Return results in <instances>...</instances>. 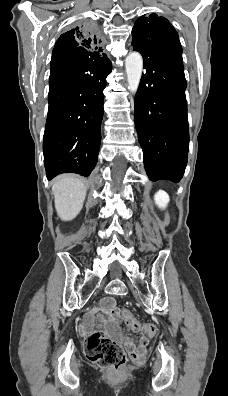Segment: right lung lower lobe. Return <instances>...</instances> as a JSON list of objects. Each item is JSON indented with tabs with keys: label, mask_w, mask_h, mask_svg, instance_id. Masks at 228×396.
Wrapping results in <instances>:
<instances>
[{
	"label": "right lung lower lobe",
	"mask_w": 228,
	"mask_h": 396,
	"mask_svg": "<svg viewBox=\"0 0 228 396\" xmlns=\"http://www.w3.org/2000/svg\"><path fill=\"white\" fill-rule=\"evenodd\" d=\"M106 54L73 51L52 56L48 115L43 137L44 164L50 180L61 173L89 176L101 143Z\"/></svg>",
	"instance_id": "1"
}]
</instances>
